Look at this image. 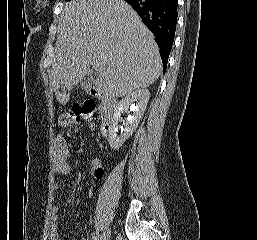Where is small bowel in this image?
<instances>
[{
    "label": "small bowel",
    "instance_id": "small-bowel-1",
    "mask_svg": "<svg viewBox=\"0 0 257 240\" xmlns=\"http://www.w3.org/2000/svg\"><path fill=\"white\" fill-rule=\"evenodd\" d=\"M91 168L95 178L99 179L102 177L103 170L97 159L92 160ZM70 172L68 143L64 137L57 136L54 139V173L58 177L69 175ZM58 212L59 207L57 204H54L50 215L49 240H63L58 227ZM82 240H86V238H82Z\"/></svg>",
    "mask_w": 257,
    "mask_h": 240
}]
</instances>
